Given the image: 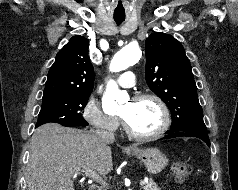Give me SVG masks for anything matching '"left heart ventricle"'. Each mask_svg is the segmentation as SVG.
<instances>
[{
	"label": "left heart ventricle",
	"mask_w": 238,
	"mask_h": 190,
	"mask_svg": "<svg viewBox=\"0 0 238 190\" xmlns=\"http://www.w3.org/2000/svg\"><path fill=\"white\" fill-rule=\"evenodd\" d=\"M119 114L134 131L142 134L156 131L162 123L161 111L152 100H129L122 106Z\"/></svg>",
	"instance_id": "1"
}]
</instances>
